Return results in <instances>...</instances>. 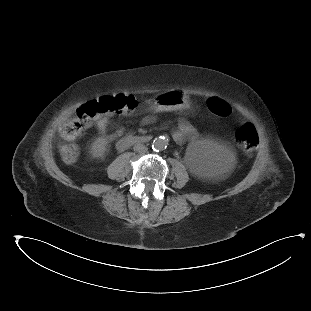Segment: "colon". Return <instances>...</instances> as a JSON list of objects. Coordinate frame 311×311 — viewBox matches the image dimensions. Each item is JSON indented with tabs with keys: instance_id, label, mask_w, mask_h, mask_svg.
Here are the masks:
<instances>
[{
	"instance_id": "5ec220e1",
	"label": "colon",
	"mask_w": 311,
	"mask_h": 311,
	"mask_svg": "<svg viewBox=\"0 0 311 311\" xmlns=\"http://www.w3.org/2000/svg\"><path fill=\"white\" fill-rule=\"evenodd\" d=\"M135 102L134 97L125 96L122 92H115L112 96L104 95L102 98H96L81 110H75L65 121H62L58 125V132L62 136L78 137L91 127L95 119L109 115L114 116L119 112L131 113L134 110ZM204 104L209 109L214 108L215 112L225 119L231 118L235 113L232 106H226L222 102L217 103L212 96L207 97ZM238 138L246 150L255 149L260 140V133L254 125L247 123L238 131ZM58 149L65 164L71 165L77 162L80 148L76 143L63 142Z\"/></svg>"
}]
</instances>
